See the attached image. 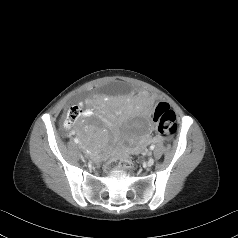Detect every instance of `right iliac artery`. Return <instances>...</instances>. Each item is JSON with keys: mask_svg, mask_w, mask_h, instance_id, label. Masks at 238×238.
<instances>
[{"mask_svg": "<svg viewBox=\"0 0 238 238\" xmlns=\"http://www.w3.org/2000/svg\"><path fill=\"white\" fill-rule=\"evenodd\" d=\"M75 143H79L78 138H74Z\"/></svg>", "mask_w": 238, "mask_h": 238, "instance_id": "1", "label": "right iliac artery"}]
</instances>
